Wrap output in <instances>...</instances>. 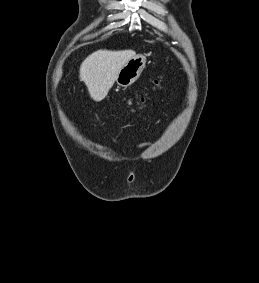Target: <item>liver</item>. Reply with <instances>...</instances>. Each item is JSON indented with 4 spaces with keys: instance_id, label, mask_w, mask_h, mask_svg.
<instances>
[{
    "instance_id": "1",
    "label": "liver",
    "mask_w": 259,
    "mask_h": 283,
    "mask_svg": "<svg viewBox=\"0 0 259 283\" xmlns=\"http://www.w3.org/2000/svg\"><path fill=\"white\" fill-rule=\"evenodd\" d=\"M135 56L133 50H98L89 55L80 66L79 77L87 86L90 97L96 102L103 100L119 71Z\"/></svg>"
}]
</instances>
